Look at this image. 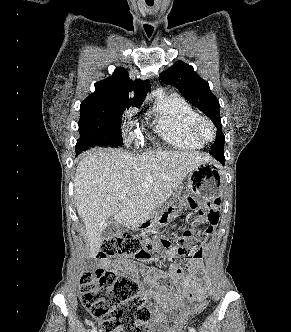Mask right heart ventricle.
<instances>
[{
  "label": "right heart ventricle",
  "instance_id": "obj_1",
  "mask_svg": "<svg viewBox=\"0 0 291 332\" xmlns=\"http://www.w3.org/2000/svg\"><path fill=\"white\" fill-rule=\"evenodd\" d=\"M152 113L156 117L157 133L169 145L188 150L204 146L191 131V123L198 113L180 95L171 93L157 98Z\"/></svg>",
  "mask_w": 291,
  "mask_h": 332
}]
</instances>
